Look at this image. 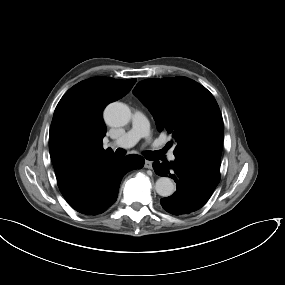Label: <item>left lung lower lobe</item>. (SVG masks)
Wrapping results in <instances>:
<instances>
[{"instance_id":"0a47b994","label":"left lung lower lobe","mask_w":285,"mask_h":285,"mask_svg":"<svg viewBox=\"0 0 285 285\" xmlns=\"http://www.w3.org/2000/svg\"><path fill=\"white\" fill-rule=\"evenodd\" d=\"M160 176L170 175L177 191L160 200L162 207L174 215H186L199 210L211 197L220 181V166L200 159L178 158L172 162H154Z\"/></svg>"}]
</instances>
